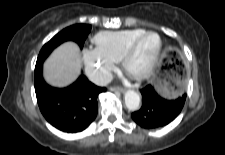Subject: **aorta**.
<instances>
[{
	"instance_id": "obj_1",
	"label": "aorta",
	"mask_w": 225,
	"mask_h": 155,
	"mask_svg": "<svg viewBox=\"0 0 225 155\" xmlns=\"http://www.w3.org/2000/svg\"><path fill=\"white\" fill-rule=\"evenodd\" d=\"M125 105L129 110H137L140 107V96L137 92L129 90L124 96Z\"/></svg>"
}]
</instances>
